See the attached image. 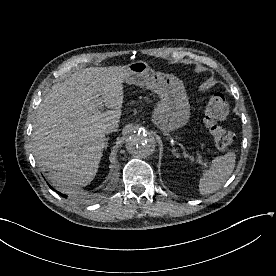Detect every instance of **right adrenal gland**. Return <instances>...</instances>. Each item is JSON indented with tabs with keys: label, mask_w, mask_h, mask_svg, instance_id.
I'll return each instance as SVG.
<instances>
[{
	"label": "right adrenal gland",
	"mask_w": 276,
	"mask_h": 276,
	"mask_svg": "<svg viewBox=\"0 0 276 276\" xmlns=\"http://www.w3.org/2000/svg\"><path fill=\"white\" fill-rule=\"evenodd\" d=\"M108 140H109V137H107V138L105 139V150H106L107 147H108Z\"/></svg>",
	"instance_id": "obj_1"
}]
</instances>
